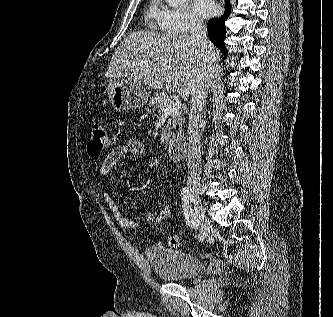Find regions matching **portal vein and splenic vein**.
<instances>
[{
    "label": "portal vein and splenic vein",
    "mask_w": 333,
    "mask_h": 317,
    "mask_svg": "<svg viewBox=\"0 0 333 317\" xmlns=\"http://www.w3.org/2000/svg\"><path fill=\"white\" fill-rule=\"evenodd\" d=\"M181 109V103L179 101L170 102L165 106L164 115H170L176 113Z\"/></svg>",
    "instance_id": "obj_1"
}]
</instances>
